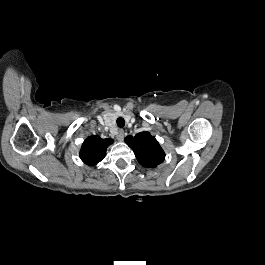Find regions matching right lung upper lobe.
<instances>
[{
  "label": "right lung upper lobe",
  "instance_id": "obj_1",
  "mask_svg": "<svg viewBox=\"0 0 265 265\" xmlns=\"http://www.w3.org/2000/svg\"><path fill=\"white\" fill-rule=\"evenodd\" d=\"M113 142L112 139H102L99 136H90L82 144L80 158L87 165H95L106 154V149Z\"/></svg>",
  "mask_w": 265,
  "mask_h": 265
}]
</instances>
